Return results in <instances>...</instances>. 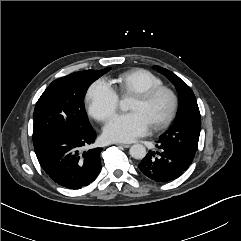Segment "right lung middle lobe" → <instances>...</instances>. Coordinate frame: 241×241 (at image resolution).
<instances>
[{"instance_id":"dd1d6c3e","label":"right lung middle lobe","mask_w":241,"mask_h":241,"mask_svg":"<svg viewBox=\"0 0 241 241\" xmlns=\"http://www.w3.org/2000/svg\"><path fill=\"white\" fill-rule=\"evenodd\" d=\"M110 68L86 70L53 81L34 109L33 145L62 133H82L91 129L84 96L88 87Z\"/></svg>"}]
</instances>
